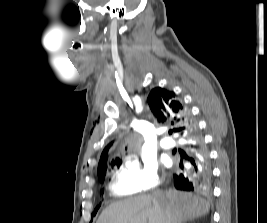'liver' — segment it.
Here are the masks:
<instances>
[{
    "mask_svg": "<svg viewBox=\"0 0 267 223\" xmlns=\"http://www.w3.org/2000/svg\"><path fill=\"white\" fill-rule=\"evenodd\" d=\"M209 208L206 200L171 189L115 202L103 210L97 223H184L205 216Z\"/></svg>",
    "mask_w": 267,
    "mask_h": 223,
    "instance_id": "6515ba94",
    "label": "liver"
}]
</instances>
